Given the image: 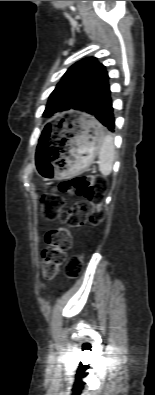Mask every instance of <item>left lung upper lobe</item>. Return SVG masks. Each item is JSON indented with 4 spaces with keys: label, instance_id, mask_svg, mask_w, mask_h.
Returning <instances> with one entry per match:
<instances>
[{
    "label": "left lung upper lobe",
    "instance_id": "left-lung-upper-lobe-1",
    "mask_svg": "<svg viewBox=\"0 0 155 395\" xmlns=\"http://www.w3.org/2000/svg\"><path fill=\"white\" fill-rule=\"evenodd\" d=\"M107 78L105 66L95 57L76 62L51 93L43 115L50 117L56 112L80 110L83 100Z\"/></svg>",
    "mask_w": 155,
    "mask_h": 395
}]
</instances>
